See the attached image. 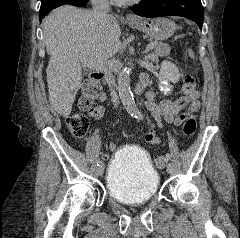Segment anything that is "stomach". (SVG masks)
Returning <instances> with one entry per match:
<instances>
[{"instance_id": "0dacf381", "label": "stomach", "mask_w": 240, "mask_h": 238, "mask_svg": "<svg viewBox=\"0 0 240 238\" xmlns=\"http://www.w3.org/2000/svg\"><path fill=\"white\" fill-rule=\"evenodd\" d=\"M129 24L151 38L160 41L171 37L176 30L175 23L167 18L140 19L138 23Z\"/></svg>"}]
</instances>
